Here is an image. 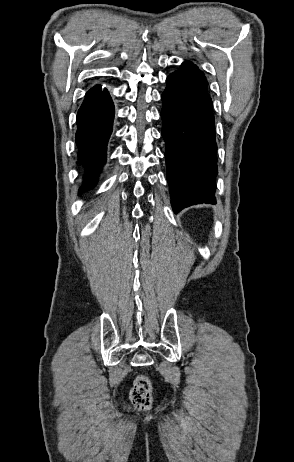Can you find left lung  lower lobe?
I'll return each instance as SVG.
<instances>
[{
	"label": "left lung lower lobe",
	"mask_w": 294,
	"mask_h": 462,
	"mask_svg": "<svg viewBox=\"0 0 294 462\" xmlns=\"http://www.w3.org/2000/svg\"><path fill=\"white\" fill-rule=\"evenodd\" d=\"M166 83L161 117L172 207L177 213L194 204H215L217 146L206 77L187 61Z\"/></svg>",
	"instance_id": "obj_1"
}]
</instances>
